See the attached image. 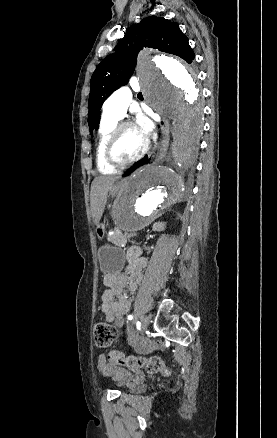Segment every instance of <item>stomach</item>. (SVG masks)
Returning a JSON list of instances; mask_svg holds the SVG:
<instances>
[{
	"label": "stomach",
	"mask_w": 277,
	"mask_h": 438,
	"mask_svg": "<svg viewBox=\"0 0 277 438\" xmlns=\"http://www.w3.org/2000/svg\"><path fill=\"white\" fill-rule=\"evenodd\" d=\"M118 190L119 189L114 186L111 188L113 194H117ZM97 234L101 239L103 238L105 234L104 224H98ZM98 259L100 268L104 273L118 272L122 269L124 264V254L122 250L111 246H102L98 250Z\"/></svg>",
	"instance_id": "obj_1"
}]
</instances>
